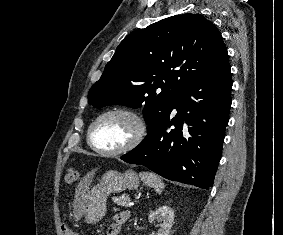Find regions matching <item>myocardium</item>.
<instances>
[{"label":"myocardium","mask_w":283,"mask_h":235,"mask_svg":"<svg viewBox=\"0 0 283 235\" xmlns=\"http://www.w3.org/2000/svg\"><path fill=\"white\" fill-rule=\"evenodd\" d=\"M111 115H123V116L130 118L135 125V132L133 136L131 137V139L125 145L117 149H114V150H104V149L97 147L94 144L93 134H94V130L97 124L105 117H108ZM146 134H147V126H146V123L143 117L139 113L129 108L117 107V108H111V109L105 110L93 120V122L90 124L89 129H88L87 141L89 145L91 146V148L97 153L101 155H106V156H117V155L126 154L134 150L135 148H137L144 141Z\"/></svg>","instance_id":"myocardium-1"}]
</instances>
